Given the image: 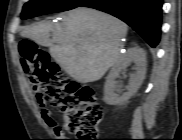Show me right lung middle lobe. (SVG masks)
<instances>
[{
    "label": "right lung middle lobe",
    "mask_w": 182,
    "mask_h": 140,
    "mask_svg": "<svg viewBox=\"0 0 182 140\" xmlns=\"http://www.w3.org/2000/svg\"><path fill=\"white\" fill-rule=\"evenodd\" d=\"M86 0H30L21 13L22 19L35 16L67 11L79 7Z\"/></svg>",
    "instance_id": "1"
}]
</instances>
